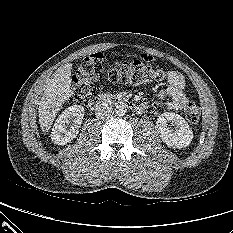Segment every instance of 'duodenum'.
Listing matches in <instances>:
<instances>
[{
    "mask_svg": "<svg viewBox=\"0 0 233 233\" xmlns=\"http://www.w3.org/2000/svg\"><path fill=\"white\" fill-rule=\"evenodd\" d=\"M107 104H113V105H119V106H125L128 108H131L135 110L136 112H143L145 109L142 108V106L136 105L133 102L122 98V97H115V96H109V97H93L88 102V107L91 110H100Z\"/></svg>",
    "mask_w": 233,
    "mask_h": 233,
    "instance_id": "410a0bca",
    "label": "duodenum"
}]
</instances>
